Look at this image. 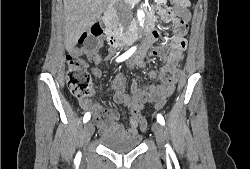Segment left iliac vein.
I'll use <instances>...</instances> for the list:
<instances>
[{"mask_svg":"<svg viewBox=\"0 0 250 169\" xmlns=\"http://www.w3.org/2000/svg\"><path fill=\"white\" fill-rule=\"evenodd\" d=\"M153 132L155 134L157 145H158L159 149L163 150L164 146H165V132H164V129L162 128L161 125L154 122L153 123Z\"/></svg>","mask_w":250,"mask_h":169,"instance_id":"1","label":"left iliac vein"}]
</instances>
